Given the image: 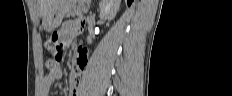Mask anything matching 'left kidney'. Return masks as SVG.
<instances>
[{"label": "left kidney", "mask_w": 232, "mask_h": 96, "mask_svg": "<svg viewBox=\"0 0 232 96\" xmlns=\"http://www.w3.org/2000/svg\"><path fill=\"white\" fill-rule=\"evenodd\" d=\"M121 0H101L99 3L100 18L105 20H113L119 10ZM87 42L92 43V38L87 37Z\"/></svg>", "instance_id": "1"}]
</instances>
